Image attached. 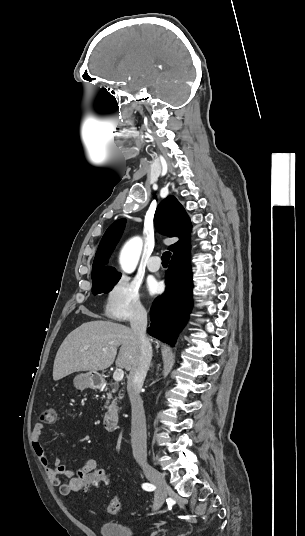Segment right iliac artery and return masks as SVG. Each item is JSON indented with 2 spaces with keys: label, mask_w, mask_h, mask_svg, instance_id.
Returning <instances> with one entry per match:
<instances>
[{
  "label": "right iliac artery",
  "mask_w": 305,
  "mask_h": 536,
  "mask_svg": "<svg viewBox=\"0 0 305 536\" xmlns=\"http://www.w3.org/2000/svg\"><path fill=\"white\" fill-rule=\"evenodd\" d=\"M142 488L146 491H153L156 487L153 484L150 483H144L142 485Z\"/></svg>",
  "instance_id": "82829eb1"
}]
</instances>
